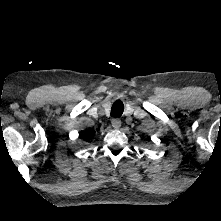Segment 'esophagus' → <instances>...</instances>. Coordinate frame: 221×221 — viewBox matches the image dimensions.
<instances>
[{
	"label": "esophagus",
	"mask_w": 221,
	"mask_h": 221,
	"mask_svg": "<svg viewBox=\"0 0 221 221\" xmlns=\"http://www.w3.org/2000/svg\"><path fill=\"white\" fill-rule=\"evenodd\" d=\"M111 124H112L114 129H119L121 127L122 122L119 118H113L111 120Z\"/></svg>",
	"instance_id": "1"
}]
</instances>
